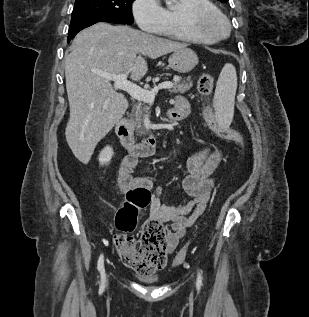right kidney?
<instances>
[{
	"mask_svg": "<svg viewBox=\"0 0 309 317\" xmlns=\"http://www.w3.org/2000/svg\"><path fill=\"white\" fill-rule=\"evenodd\" d=\"M113 149L110 146H106L99 154V163L101 165H106L110 162L113 157Z\"/></svg>",
	"mask_w": 309,
	"mask_h": 317,
	"instance_id": "right-kidney-1",
	"label": "right kidney"
}]
</instances>
